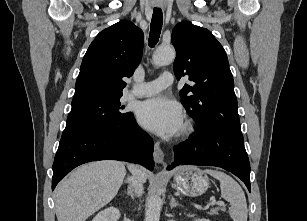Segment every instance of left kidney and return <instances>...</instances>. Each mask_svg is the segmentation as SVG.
<instances>
[{"instance_id":"obj_1","label":"left kidney","mask_w":307,"mask_h":221,"mask_svg":"<svg viewBox=\"0 0 307 221\" xmlns=\"http://www.w3.org/2000/svg\"><path fill=\"white\" fill-rule=\"evenodd\" d=\"M194 221H210L209 219H195Z\"/></svg>"}]
</instances>
